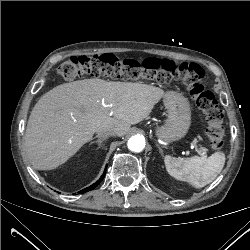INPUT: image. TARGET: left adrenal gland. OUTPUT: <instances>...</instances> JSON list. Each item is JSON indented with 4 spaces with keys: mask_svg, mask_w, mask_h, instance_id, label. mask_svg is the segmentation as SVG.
Here are the masks:
<instances>
[{
    "mask_svg": "<svg viewBox=\"0 0 250 250\" xmlns=\"http://www.w3.org/2000/svg\"><path fill=\"white\" fill-rule=\"evenodd\" d=\"M157 147L159 149L160 154L163 155V151H162L161 147L159 145H157Z\"/></svg>",
    "mask_w": 250,
    "mask_h": 250,
    "instance_id": "1",
    "label": "left adrenal gland"
}]
</instances>
